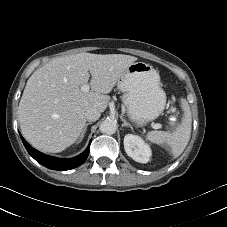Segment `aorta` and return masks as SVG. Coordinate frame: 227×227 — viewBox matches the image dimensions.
Instances as JSON below:
<instances>
[{"instance_id": "aorta-1", "label": "aorta", "mask_w": 227, "mask_h": 227, "mask_svg": "<svg viewBox=\"0 0 227 227\" xmlns=\"http://www.w3.org/2000/svg\"><path fill=\"white\" fill-rule=\"evenodd\" d=\"M116 129H117L116 122L112 119L104 120L99 126V130L102 133L109 135L114 134L116 132Z\"/></svg>"}]
</instances>
